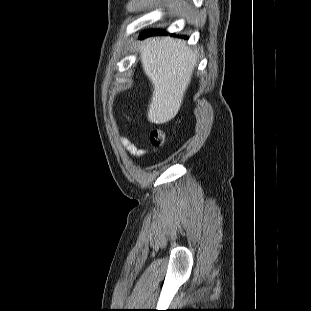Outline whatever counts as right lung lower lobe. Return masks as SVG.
Listing matches in <instances>:
<instances>
[{"mask_svg":"<svg viewBox=\"0 0 311 311\" xmlns=\"http://www.w3.org/2000/svg\"><path fill=\"white\" fill-rule=\"evenodd\" d=\"M158 32L159 33H161L160 31H158V30H151V31H146V32H143L142 34H141V38H144V37H147V36H150V35H155V34H158Z\"/></svg>","mask_w":311,"mask_h":311,"instance_id":"1","label":"right lung lower lobe"}]
</instances>
